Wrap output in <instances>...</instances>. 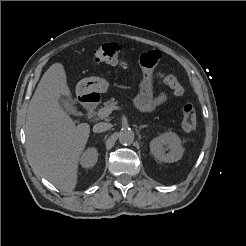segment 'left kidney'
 Returning a JSON list of instances; mask_svg holds the SVG:
<instances>
[{"instance_id":"1","label":"left kidney","mask_w":246,"mask_h":246,"mask_svg":"<svg viewBox=\"0 0 246 246\" xmlns=\"http://www.w3.org/2000/svg\"><path fill=\"white\" fill-rule=\"evenodd\" d=\"M166 150H169V152L166 153ZM150 151L157 160L165 163H173L182 158L184 148L177 134L166 132L155 137L150 142Z\"/></svg>"}]
</instances>
